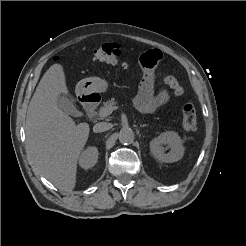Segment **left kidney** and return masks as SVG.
Returning a JSON list of instances; mask_svg holds the SVG:
<instances>
[{"label":"left kidney","mask_w":246,"mask_h":246,"mask_svg":"<svg viewBox=\"0 0 246 246\" xmlns=\"http://www.w3.org/2000/svg\"><path fill=\"white\" fill-rule=\"evenodd\" d=\"M163 145L170 148L168 153H165ZM184 150L180 136L174 131L161 133L150 142L151 153L161 162L173 163L180 160L184 155Z\"/></svg>","instance_id":"5707ae66"}]
</instances>
